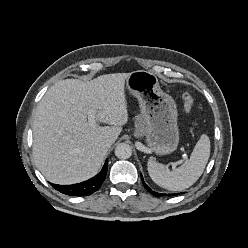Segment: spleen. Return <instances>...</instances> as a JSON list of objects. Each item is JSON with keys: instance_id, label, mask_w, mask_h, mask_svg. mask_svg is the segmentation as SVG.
Returning a JSON list of instances; mask_svg holds the SVG:
<instances>
[{"instance_id": "spleen-1", "label": "spleen", "mask_w": 248, "mask_h": 248, "mask_svg": "<svg viewBox=\"0 0 248 248\" xmlns=\"http://www.w3.org/2000/svg\"><path fill=\"white\" fill-rule=\"evenodd\" d=\"M210 156V140L201 135L191 153L190 159L180 167L170 171L164 165L148 160V173L160 187L171 191H182L193 185L202 175Z\"/></svg>"}]
</instances>
